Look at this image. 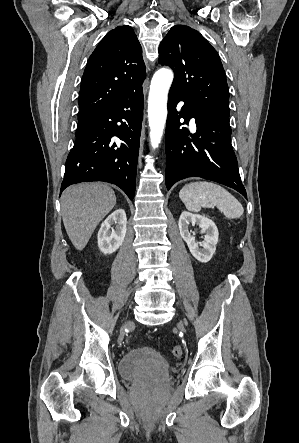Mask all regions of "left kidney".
I'll return each mask as SVG.
<instances>
[{
	"label": "left kidney",
	"instance_id": "obj_1",
	"mask_svg": "<svg viewBox=\"0 0 299 443\" xmlns=\"http://www.w3.org/2000/svg\"><path fill=\"white\" fill-rule=\"evenodd\" d=\"M190 224L199 225L200 232L205 234L204 242L198 244L195 241V237L189 232ZM178 226L180 235L187 243L193 257L202 263L210 261L216 251L219 237L215 223L205 216L184 211L179 218Z\"/></svg>",
	"mask_w": 299,
	"mask_h": 443
}]
</instances>
